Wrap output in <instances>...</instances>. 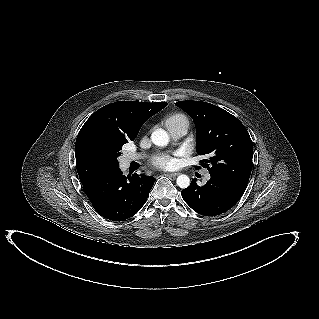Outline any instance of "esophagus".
Here are the masks:
<instances>
[{
    "label": "esophagus",
    "mask_w": 319,
    "mask_h": 319,
    "mask_svg": "<svg viewBox=\"0 0 319 319\" xmlns=\"http://www.w3.org/2000/svg\"><path fill=\"white\" fill-rule=\"evenodd\" d=\"M166 176H169V177H176L179 175V173H176V172H172V173H165Z\"/></svg>",
    "instance_id": "34e87169"
}]
</instances>
